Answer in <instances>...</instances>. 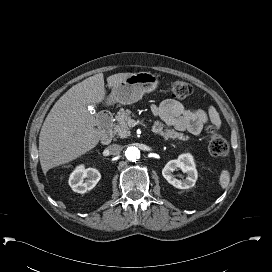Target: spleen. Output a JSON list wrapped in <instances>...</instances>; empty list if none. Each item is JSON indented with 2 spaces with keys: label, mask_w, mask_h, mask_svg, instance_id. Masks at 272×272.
<instances>
[{
  "label": "spleen",
  "mask_w": 272,
  "mask_h": 272,
  "mask_svg": "<svg viewBox=\"0 0 272 272\" xmlns=\"http://www.w3.org/2000/svg\"><path fill=\"white\" fill-rule=\"evenodd\" d=\"M230 182V174L228 170H223L221 172L219 183L222 188H226Z\"/></svg>",
  "instance_id": "spleen-1"
}]
</instances>
